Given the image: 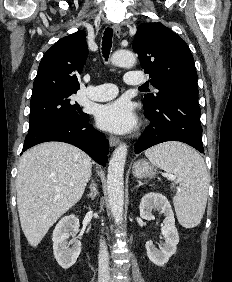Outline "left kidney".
Returning a JSON list of instances; mask_svg holds the SVG:
<instances>
[{"instance_id":"1","label":"left kidney","mask_w":232,"mask_h":282,"mask_svg":"<svg viewBox=\"0 0 232 282\" xmlns=\"http://www.w3.org/2000/svg\"><path fill=\"white\" fill-rule=\"evenodd\" d=\"M139 208L140 216L146 220H150L153 217L152 209L161 210L166 216L165 224L161 229V233L165 239L163 246L160 247V249H157L152 241H147L145 244L149 260L157 266H163L176 252L177 244L179 242L171 205L164 195L150 192L142 197Z\"/></svg>"}]
</instances>
